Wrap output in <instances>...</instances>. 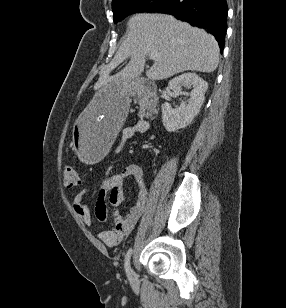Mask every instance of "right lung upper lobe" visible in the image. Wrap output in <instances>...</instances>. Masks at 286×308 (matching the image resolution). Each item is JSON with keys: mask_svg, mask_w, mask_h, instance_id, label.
Listing matches in <instances>:
<instances>
[{"mask_svg": "<svg viewBox=\"0 0 286 308\" xmlns=\"http://www.w3.org/2000/svg\"><path fill=\"white\" fill-rule=\"evenodd\" d=\"M118 1H120V0H113L112 5H114Z\"/></svg>", "mask_w": 286, "mask_h": 308, "instance_id": "cb5924a9", "label": "right lung upper lobe"}]
</instances>
